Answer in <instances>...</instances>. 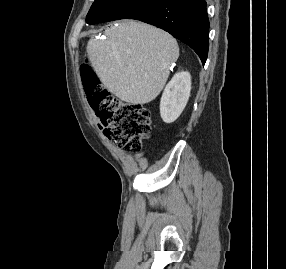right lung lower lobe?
Segmentation results:
<instances>
[{
    "label": "right lung lower lobe",
    "instance_id": "obj_1",
    "mask_svg": "<svg viewBox=\"0 0 286 269\" xmlns=\"http://www.w3.org/2000/svg\"><path fill=\"white\" fill-rule=\"evenodd\" d=\"M128 19L140 20L169 32L190 46L205 64L209 46L205 0H154Z\"/></svg>",
    "mask_w": 286,
    "mask_h": 269
}]
</instances>
